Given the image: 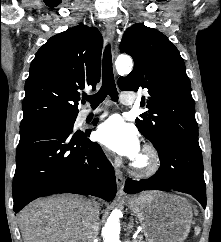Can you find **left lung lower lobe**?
Listing matches in <instances>:
<instances>
[{
	"label": "left lung lower lobe",
	"instance_id": "0a47b994",
	"mask_svg": "<svg viewBox=\"0 0 221 242\" xmlns=\"http://www.w3.org/2000/svg\"><path fill=\"white\" fill-rule=\"evenodd\" d=\"M155 148L161 161L158 172L145 180L127 179L124 191L138 193L145 190H175L192 195L205 208L206 184L198 138L168 135Z\"/></svg>",
	"mask_w": 221,
	"mask_h": 242
}]
</instances>
